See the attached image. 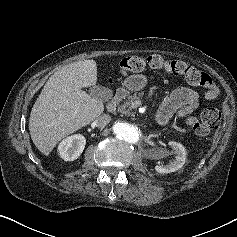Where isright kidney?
<instances>
[{
  "label": "right kidney",
  "mask_w": 237,
  "mask_h": 237,
  "mask_svg": "<svg viewBox=\"0 0 237 237\" xmlns=\"http://www.w3.org/2000/svg\"><path fill=\"white\" fill-rule=\"evenodd\" d=\"M86 139L81 134L71 135L58 145V153L64 161H73L83 152Z\"/></svg>",
  "instance_id": "right-kidney-1"
}]
</instances>
